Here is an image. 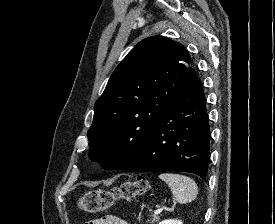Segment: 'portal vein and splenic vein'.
<instances>
[{"instance_id":"obj_1","label":"portal vein and splenic vein","mask_w":275,"mask_h":224,"mask_svg":"<svg viewBox=\"0 0 275 224\" xmlns=\"http://www.w3.org/2000/svg\"><path fill=\"white\" fill-rule=\"evenodd\" d=\"M164 209L166 208L165 207L158 208L157 210H155L154 214H160Z\"/></svg>"}]
</instances>
